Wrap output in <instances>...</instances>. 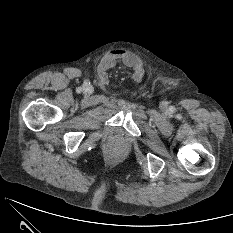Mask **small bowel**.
I'll return each mask as SVG.
<instances>
[{
	"label": "small bowel",
	"instance_id": "obj_1",
	"mask_svg": "<svg viewBox=\"0 0 233 233\" xmlns=\"http://www.w3.org/2000/svg\"><path fill=\"white\" fill-rule=\"evenodd\" d=\"M118 61L123 62L133 70L132 79L135 83L142 81L144 77L142 62L135 54L125 49H116L108 52L101 60L98 69L101 73H105L115 67Z\"/></svg>",
	"mask_w": 233,
	"mask_h": 233
}]
</instances>
